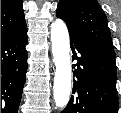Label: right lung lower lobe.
<instances>
[{
    "mask_svg": "<svg viewBox=\"0 0 121 113\" xmlns=\"http://www.w3.org/2000/svg\"><path fill=\"white\" fill-rule=\"evenodd\" d=\"M27 28L1 40V113H17L26 80Z\"/></svg>",
    "mask_w": 121,
    "mask_h": 113,
    "instance_id": "right-lung-lower-lobe-1",
    "label": "right lung lower lobe"
}]
</instances>
